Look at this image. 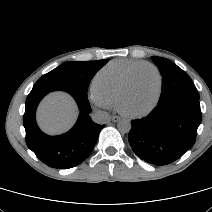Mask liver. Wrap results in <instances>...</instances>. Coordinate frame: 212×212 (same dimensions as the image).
<instances>
[{"label": "liver", "mask_w": 212, "mask_h": 212, "mask_svg": "<svg viewBox=\"0 0 212 212\" xmlns=\"http://www.w3.org/2000/svg\"><path fill=\"white\" fill-rule=\"evenodd\" d=\"M73 99L62 92L48 95L40 104L37 119L40 127L49 134H58L70 128L77 117Z\"/></svg>", "instance_id": "6515ba94"}]
</instances>
